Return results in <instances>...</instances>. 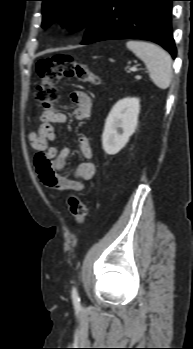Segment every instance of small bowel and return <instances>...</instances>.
I'll list each match as a JSON object with an SVG mask.
<instances>
[{
	"mask_svg": "<svg viewBox=\"0 0 193 349\" xmlns=\"http://www.w3.org/2000/svg\"><path fill=\"white\" fill-rule=\"evenodd\" d=\"M70 99L75 105L73 116L79 121H86L91 117L93 101L89 93L77 90L71 93ZM40 125L36 131H30L28 141L34 151V163L41 182L52 189L62 191H81L83 183L92 179L96 167L92 161V148L86 136L78 138V147L83 158L74 168H68L70 149L60 150L50 145L56 139V126L66 121L62 112H43L39 117Z\"/></svg>",
	"mask_w": 193,
	"mask_h": 349,
	"instance_id": "1",
	"label": "small bowel"
}]
</instances>
